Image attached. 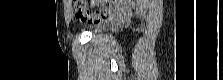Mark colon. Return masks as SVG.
Wrapping results in <instances>:
<instances>
[{"mask_svg":"<svg viewBox=\"0 0 223 80\" xmlns=\"http://www.w3.org/2000/svg\"><path fill=\"white\" fill-rule=\"evenodd\" d=\"M125 4V0H111L107 7H104L96 12H90L86 9L83 0H73V5L76 11V16L82 22L89 24H100L106 20L112 9L120 8Z\"/></svg>","mask_w":223,"mask_h":80,"instance_id":"colon-1","label":"colon"}]
</instances>
